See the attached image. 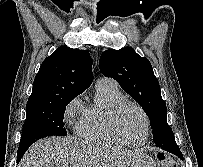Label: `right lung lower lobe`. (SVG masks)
I'll return each mask as SVG.
<instances>
[{
    "instance_id": "obj_1",
    "label": "right lung lower lobe",
    "mask_w": 203,
    "mask_h": 167,
    "mask_svg": "<svg viewBox=\"0 0 203 167\" xmlns=\"http://www.w3.org/2000/svg\"><path fill=\"white\" fill-rule=\"evenodd\" d=\"M32 144H26V145H21L18 148V152H17V162H19L22 158V156L24 155V153L26 152V150L31 146Z\"/></svg>"
}]
</instances>
